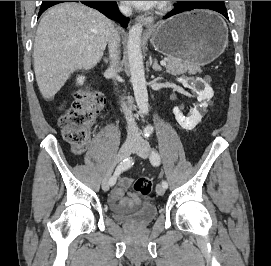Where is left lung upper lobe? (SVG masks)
Listing matches in <instances>:
<instances>
[{
	"mask_svg": "<svg viewBox=\"0 0 271 266\" xmlns=\"http://www.w3.org/2000/svg\"><path fill=\"white\" fill-rule=\"evenodd\" d=\"M193 6H199L203 9H211L217 12L227 11L224 1H179Z\"/></svg>",
	"mask_w": 271,
	"mask_h": 266,
	"instance_id": "left-lung-upper-lobe-1",
	"label": "left lung upper lobe"
}]
</instances>
